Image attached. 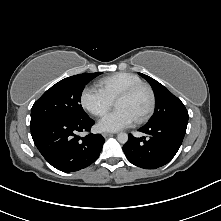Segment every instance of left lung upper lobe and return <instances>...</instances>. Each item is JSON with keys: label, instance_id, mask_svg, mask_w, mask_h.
<instances>
[{"label": "left lung upper lobe", "instance_id": "1", "mask_svg": "<svg viewBox=\"0 0 221 221\" xmlns=\"http://www.w3.org/2000/svg\"><path fill=\"white\" fill-rule=\"evenodd\" d=\"M139 74L151 85L156 100L154 115L147 125H154L173 119L188 120V112L180 99L174 96L165 86L155 79L142 73Z\"/></svg>", "mask_w": 221, "mask_h": 221}]
</instances>
